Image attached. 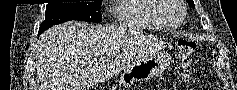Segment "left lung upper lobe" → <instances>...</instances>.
<instances>
[{"mask_svg":"<svg viewBox=\"0 0 237 90\" xmlns=\"http://www.w3.org/2000/svg\"><path fill=\"white\" fill-rule=\"evenodd\" d=\"M187 2L192 8H195L193 0H187Z\"/></svg>","mask_w":237,"mask_h":90,"instance_id":"left-lung-upper-lobe-1","label":"left lung upper lobe"}]
</instances>
